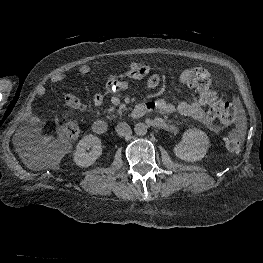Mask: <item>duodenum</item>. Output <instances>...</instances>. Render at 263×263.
I'll list each match as a JSON object with an SVG mask.
<instances>
[{
	"instance_id": "1",
	"label": "duodenum",
	"mask_w": 263,
	"mask_h": 263,
	"mask_svg": "<svg viewBox=\"0 0 263 263\" xmlns=\"http://www.w3.org/2000/svg\"><path fill=\"white\" fill-rule=\"evenodd\" d=\"M150 111V107L146 103H140L131 112L133 118H140ZM93 132L98 135H103L108 131V124L102 120L97 119L92 125Z\"/></svg>"
}]
</instances>
